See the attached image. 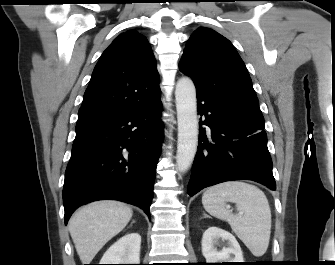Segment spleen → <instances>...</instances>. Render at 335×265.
<instances>
[{
  "instance_id": "1",
  "label": "spleen",
  "mask_w": 335,
  "mask_h": 265,
  "mask_svg": "<svg viewBox=\"0 0 335 265\" xmlns=\"http://www.w3.org/2000/svg\"><path fill=\"white\" fill-rule=\"evenodd\" d=\"M226 202L235 203L239 214L230 213ZM202 204L209 214L227 221L254 256L265 254L271 234V210L262 190L246 182L229 181L208 188Z\"/></svg>"
}]
</instances>
